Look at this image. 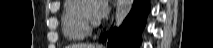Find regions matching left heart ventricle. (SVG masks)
Returning a JSON list of instances; mask_svg holds the SVG:
<instances>
[{"label": "left heart ventricle", "instance_id": "b2bd125f", "mask_svg": "<svg viewBox=\"0 0 213 48\" xmlns=\"http://www.w3.org/2000/svg\"><path fill=\"white\" fill-rule=\"evenodd\" d=\"M94 4L93 2H87L84 6V12L91 18L95 19L93 16Z\"/></svg>", "mask_w": 213, "mask_h": 48}]
</instances>
